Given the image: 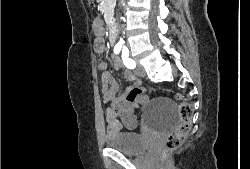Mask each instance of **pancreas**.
Wrapping results in <instances>:
<instances>
[{
    "label": "pancreas",
    "mask_w": 250,
    "mask_h": 169,
    "mask_svg": "<svg viewBox=\"0 0 250 169\" xmlns=\"http://www.w3.org/2000/svg\"><path fill=\"white\" fill-rule=\"evenodd\" d=\"M114 0H105L104 4H102L101 6V10H103V12H107V10H109L111 4H113Z\"/></svg>",
    "instance_id": "pancreas-1"
}]
</instances>
